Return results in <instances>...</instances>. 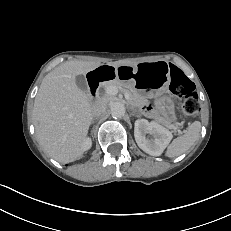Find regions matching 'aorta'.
I'll use <instances>...</instances> for the list:
<instances>
[{
    "label": "aorta",
    "instance_id": "obj_1",
    "mask_svg": "<svg viewBox=\"0 0 231 231\" xmlns=\"http://www.w3.org/2000/svg\"><path fill=\"white\" fill-rule=\"evenodd\" d=\"M110 109L111 115L117 118L123 117L126 112L125 105L122 102H113Z\"/></svg>",
    "mask_w": 231,
    "mask_h": 231
}]
</instances>
